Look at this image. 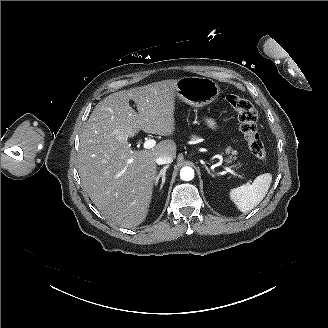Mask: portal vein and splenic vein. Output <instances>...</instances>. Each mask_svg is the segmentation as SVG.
I'll return each instance as SVG.
<instances>
[{
    "label": "portal vein and splenic vein",
    "instance_id": "portal-vein-and-splenic-vein-1",
    "mask_svg": "<svg viewBox=\"0 0 328 328\" xmlns=\"http://www.w3.org/2000/svg\"><path fill=\"white\" fill-rule=\"evenodd\" d=\"M155 145H156V141H155L154 139H148V140H146V141L144 142L143 147H144L145 149H151V148H153ZM225 169H226L227 172H229V173H231V174H234V175L237 176L239 179H242V180H244V181H246V182H250V179L245 178L244 175H240L239 173H235V171L232 170V169H230L229 167H226Z\"/></svg>",
    "mask_w": 328,
    "mask_h": 328
}]
</instances>
